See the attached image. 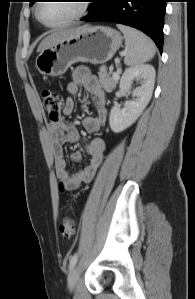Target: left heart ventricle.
I'll list each match as a JSON object with an SVG mask.
<instances>
[{"instance_id":"obj_1","label":"left heart ventricle","mask_w":195,"mask_h":299,"mask_svg":"<svg viewBox=\"0 0 195 299\" xmlns=\"http://www.w3.org/2000/svg\"><path fill=\"white\" fill-rule=\"evenodd\" d=\"M79 6V1H46L41 4L39 14L46 23L57 24L77 14Z\"/></svg>"}]
</instances>
